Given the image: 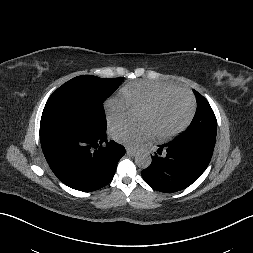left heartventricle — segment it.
<instances>
[{"instance_id":"b2bd125f","label":"left heart ventricle","mask_w":253,"mask_h":253,"mask_svg":"<svg viewBox=\"0 0 253 253\" xmlns=\"http://www.w3.org/2000/svg\"><path fill=\"white\" fill-rule=\"evenodd\" d=\"M189 110L188 99L182 94H173L163 98L153 110H142L140 121L148 124L154 134H165L180 125Z\"/></svg>"}]
</instances>
